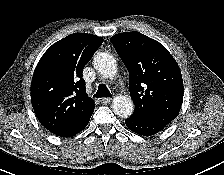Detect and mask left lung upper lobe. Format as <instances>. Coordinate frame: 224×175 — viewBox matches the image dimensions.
<instances>
[{
  "mask_svg": "<svg viewBox=\"0 0 224 175\" xmlns=\"http://www.w3.org/2000/svg\"><path fill=\"white\" fill-rule=\"evenodd\" d=\"M111 41L130 74L134 117L174 120L183 100L180 69L168 50L139 32H126Z\"/></svg>",
  "mask_w": 224,
  "mask_h": 175,
  "instance_id": "1",
  "label": "left lung upper lobe"
}]
</instances>
